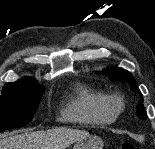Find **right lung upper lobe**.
Instances as JSON below:
<instances>
[{"mask_svg":"<svg viewBox=\"0 0 155 149\" xmlns=\"http://www.w3.org/2000/svg\"><path fill=\"white\" fill-rule=\"evenodd\" d=\"M16 82H35V80L33 78H30V77H24L23 79H20ZM14 82V83H16Z\"/></svg>","mask_w":155,"mask_h":149,"instance_id":"right-lung-upper-lobe-1","label":"right lung upper lobe"}]
</instances>
